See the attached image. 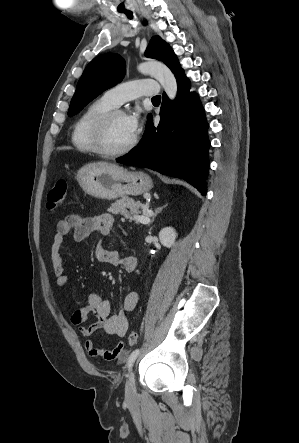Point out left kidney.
Returning <instances> with one entry per match:
<instances>
[{
    "label": "left kidney",
    "instance_id": "left-kidney-1",
    "mask_svg": "<svg viewBox=\"0 0 299 443\" xmlns=\"http://www.w3.org/2000/svg\"><path fill=\"white\" fill-rule=\"evenodd\" d=\"M177 233L174 228L166 227L159 232V239L163 246L170 248L174 245Z\"/></svg>",
    "mask_w": 299,
    "mask_h": 443
}]
</instances>
